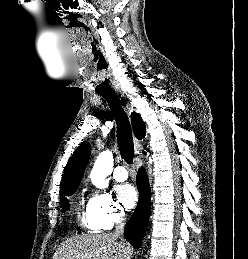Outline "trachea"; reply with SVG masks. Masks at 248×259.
<instances>
[{
	"label": "trachea",
	"mask_w": 248,
	"mask_h": 259,
	"mask_svg": "<svg viewBox=\"0 0 248 259\" xmlns=\"http://www.w3.org/2000/svg\"><path fill=\"white\" fill-rule=\"evenodd\" d=\"M109 104L117 122V141L122 159L131 164L134 157V145L130 122L121 106L120 99L115 92L99 94Z\"/></svg>",
	"instance_id": "trachea-1"
}]
</instances>
